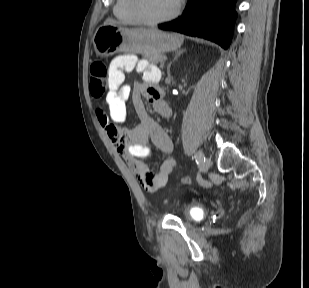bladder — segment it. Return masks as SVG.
<instances>
[{"mask_svg":"<svg viewBox=\"0 0 309 288\" xmlns=\"http://www.w3.org/2000/svg\"><path fill=\"white\" fill-rule=\"evenodd\" d=\"M205 211L198 208H191L187 211V218L192 222H199L203 219Z\"/></svg>","mask_w":309,"mask_h":288,"instance_id":"31cf9c89","label":"bladder"}]
</instances>
